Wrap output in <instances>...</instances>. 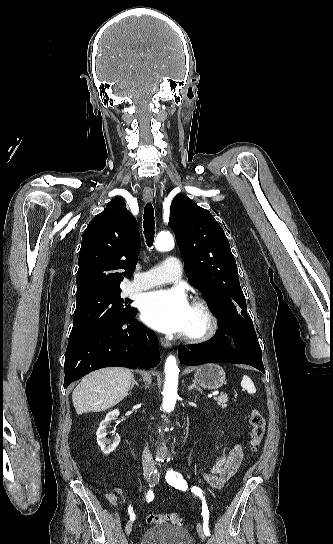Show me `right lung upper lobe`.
<instances>
[{
  "label": "right lung upper lobe",
  "mask_w": 333,
  "mask_h": 544,
  "mask_svg": "<svg viewBox=\"0 0 333 544\" xmlns=\"http://www.w3.org/2000/svg\"><path fill=\"white\" fill-rule=\"evenodd\" d=\"M140 249L135 217L116 197L95 216L83 233L76 276V299L120 290L124 277L131 278Z\"/></svg>",
  "instance_id": "1"
}]
</instances>
